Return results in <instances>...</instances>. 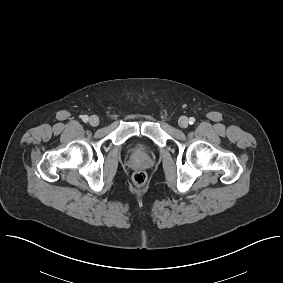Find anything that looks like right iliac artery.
Returning <instances> with one entry per match:
<instances>
[{
	"label": "right iliac artery",
	"instance_id": "right-iliac-artery-1",
	"mask_svg": "<svg viewBox=\"0 0 283 283\" xmlns=\"http://www.w3.org/2000/svg\"><path fill=\"white\" fill-rule=\"evenodd\" d=\"M88 119H89V117H88L87 115H84V116L82 117V120H83L84 122H87Z\"/></svg>",
	"mask_w": 283,
	"mask_h": 283
}]
</instances>
